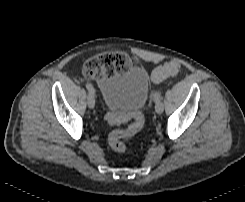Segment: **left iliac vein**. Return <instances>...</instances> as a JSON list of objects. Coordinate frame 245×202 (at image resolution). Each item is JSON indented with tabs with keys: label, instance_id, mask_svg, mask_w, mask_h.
<instances>
[{
	"label": "left iliac vein",
	"instance_id": "4c4485c4",
	"mask_svg": "<svg viewBox=\"0 0 245 202\" xmlns=\"http://www.w3.org/2000/svg\"><path fill=\"white\" fill-rule=\"evenodd\" d=\"M155 111L157 112V114H162L164 111V104L162 101H159L156 103L155 105Z\"/></svg>",
	"mask_w": 245,
	"mask_h": 202
}]
</instances>
